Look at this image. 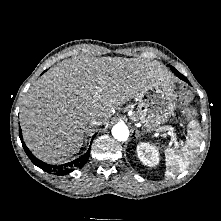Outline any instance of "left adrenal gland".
<instances>
[{
  "label": "left adrenal gland",
  "mask_w": 221,
  "mask_h": 221,
  "mask_svg": "<svg viewBox=\"0 0 221 221\" xmlns=\"http://www.w3.org/2000/svg\"><path fill=\"white\" fill-rule=\"evenodd\" d=\"M135 133H136L135 135L136 139H138V137L142 135L139 130H136Z\"/></svg>",
  "instance_id": "obj_1"
}]
</instances>
